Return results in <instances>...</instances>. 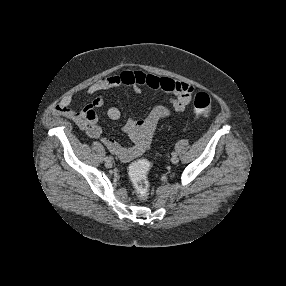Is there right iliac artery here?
Instances as JSON below:
<instances>
[{
    "mask_svg": "<svg viewBox=\"0 0 286 286\" xmlns=\"http://www.w3.org/2000/svg\"><path fill=\"white\" fill-rule=\"evenodd\" d=\"M113 158L111 157V156H106L105 158H104V160L105 161H111Z\"/></svg>",
    "mask_w": 286,
    "mask_h": 286,
    "instance_id": "right-iliac-artery-1",
    "label": "right iliac artery"
}]
</instances>
